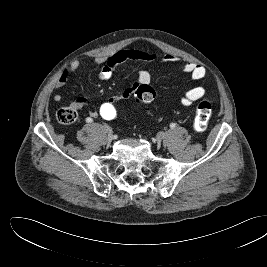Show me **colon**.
<instances>
[{"mask_svg": "<svg viewBox=\"0 0 267 267\" xmlns=\"http://www.w3.org/2000/svg\"><path fill=\"white\" fill-rule=\"evenodd\" d=\"M134 94L139 104H148L155 97L154 89L148 84L138 85ZM211 111V104L208 101L202 100L198 103L193 122V128L196 132L201 133L207 129ZM96 112L106 121L115 120L120 112V100L115 96L108 97L99 104ZM56 117L61 124L69 125L76 121L77 113L70 107H63L57 111Z\"/></svg>", "mask_w": 267, "mask_h": 267, "instance_id": "obj_1", "label": "colon"}]
</instances>
